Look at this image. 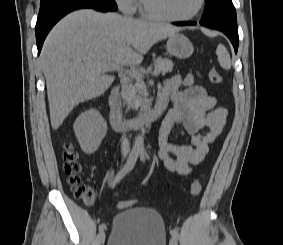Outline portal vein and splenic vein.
<instances>
[{"instance_id":"18ae733b","label":"portal vein and splenic vein","mask_w":283,"mask_h":245,"mask_svg":"<svg viewBox=\"0 0 283 245\" xmlns=\"http://www.w3.org/2000/svg\"><path fill=\"white\" fill-rule=\"evenodd\" d=\"M106 68L108 70H117V71H121V72L125 71L130 76L135 77V78L141 77V74L138 71H136V70H124L123 67H121L120 65H116L115 63L108 65ZM159 74H160V72L157 69H155L152 73V75H154V76H158Z\"/></svg>"}]
</instances>
